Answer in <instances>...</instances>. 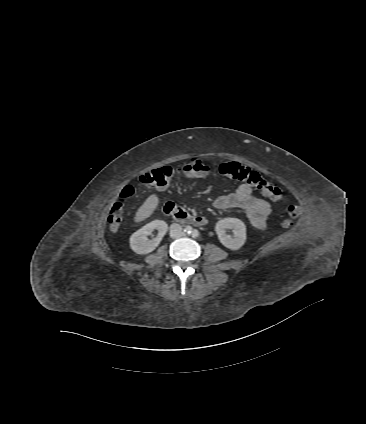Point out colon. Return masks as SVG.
Returning a JSON list of instances; mask_svg holds the SVG:
<instances>
[{
	"label": "colon",
	"mask_w": 366,
	"mask_h": 424,
	"mask_svg": "<svg viewBox=\"0 0 366 424\" xmlns=\"http://www.w3.org/2000/svg\"><path fill=\"white\" fill-rule=\"evenodd\" d=\"M183 172L185 175L192 178L205 177L209 172V167L198 157H192L181 166L170 167L165 166L156 170L145 173L139 177L141 185L150 187H164L178 173ZM219 173L227 178L237 181H243L259 189L263 195L267 196L275 202L283 200L282 190L273 182L267 180L257 171L249 169L237 162H227L219 166ZM133 194V188L127 187L121 194V199L118 200L111 208L107 223L112 231H117L121 225L124 212V199ZM299 207L290 205L287 208V215L283 219L284 226H290L299 215Z\"/></svg>",
	"instance_id": "obj_1"
}]
</instances>
